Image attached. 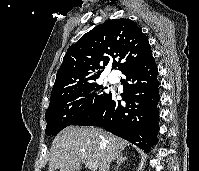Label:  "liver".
<instances>
[{
  "instance_id": "liver-1",
  "label": "liver",
  "mask_w": 199,
  "mask_h": 171,
  "mask_svg": "<svg viewBox=\"0 0 199 171\" xmlns=\"http://www.w3.org/2000/svg\"><path fill=\"white\" fill-rule=\"evenodd\" d=\"M127 141L102 129L69 126L61 131L51 147L49 171H80L81 164L95 162L99 171H109Z\"/></svg>"
}]
</instances>
